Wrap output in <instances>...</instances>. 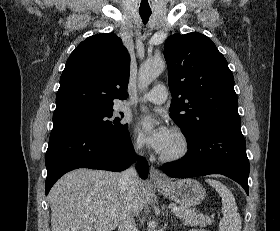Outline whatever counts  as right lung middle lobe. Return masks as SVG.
Here are the masks:
<instances>
[{
  "label": "right lung middle lobe",
  "mask_w": 280,
  "mask_h": 231,
  "mask_svg": "<svg viewBox=\"0 0 280 231\" xmlns=\"http://www.w3.org/2000/svg\"><path fill=\"white\" fill-rule=\"evenodd\" d=\"M111 117L112 111L100 115L56 122L53 123V129L78 128L102 135H118L127 130V124L119 123V118L109 121L107 118Z\"/></svg>",
  "instance_id": "1"
}]
</instances>
